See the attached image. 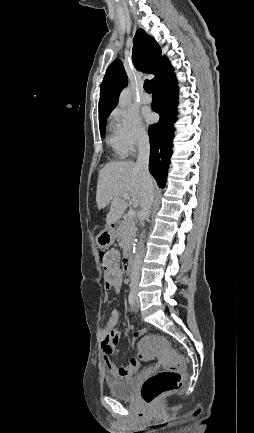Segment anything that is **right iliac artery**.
Segmentation results:
<instances>
[{
	"instance_id": "1",
	"label": "right iliac artery",
	"mask_w": 254,
	"mask_h": 433,
	"mask_svg": "<svg viewBox=\"0 0 254 433\" xmlns=\"http://www.w3.org/2000/svg\"><path fill=\"white\" fill-rule=\"evenodd\" d=\"M128 301H129V304L131 306H133L135 304V296H134V292L133 291L130 292V294L128 296Z\"/></svg>"
}]
</instances>
